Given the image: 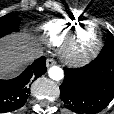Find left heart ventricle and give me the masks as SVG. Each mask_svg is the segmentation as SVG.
I'll return each instance as SVG.
<instances>
[{"instance_id": "b2bd125f", "label": "left heart ventricle", "mask_w": 114, "mask_h": 114, "mask_svg": "<svg viewBox=\"0 0 114 114\" xmlns=\"http://www.w3.org/2000/svg\"><path fill=\"white\" fill-rule=\"evenodd\" d=\"M96 40V32L91 24L82 26L76 37V46L78 49L85 50L92 46Z\"/></svg>"}]
</instances>
